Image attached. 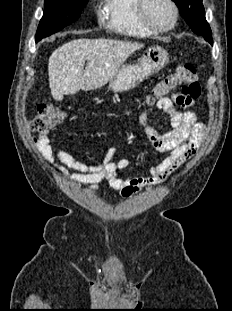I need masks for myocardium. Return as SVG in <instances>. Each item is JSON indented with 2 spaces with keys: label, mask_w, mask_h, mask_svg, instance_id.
Wrapping results in <instances>:
<instances>
[{
  "label": "myocardium",
  "mask_w": 232,
  "mask_h": 311,
  "mask_svg": "<svg viewBox=\"0 0 232 311\" xmlns=\"http://www.w3.org/2000/svg\"><path fill=\"white\" fill-rule=\"evenodd\" d=\"M147 2H148V0H137V3H136V14H137V17H138L140 23L144 27H146L147 29H149L150 31H152L154 33H160V32H168L176 26L177 21H178V17H179V9H178V6L174 0H167V2L171 5V7L173 9V20H172L171 24L169 26H166V27L156 26L149 21V19L147 18V15H146Z\"/></svg>",
  "instance_id": "1"
}]
</instances>
